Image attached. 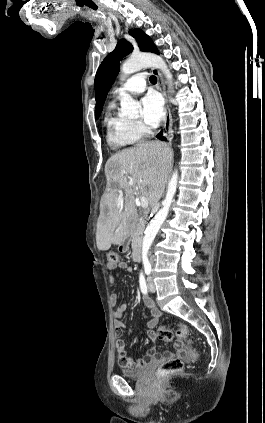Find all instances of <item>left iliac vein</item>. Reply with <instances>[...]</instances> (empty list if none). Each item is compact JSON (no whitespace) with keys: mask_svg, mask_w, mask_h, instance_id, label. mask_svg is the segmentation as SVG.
Returning <instances> with one entry per match:
<instances>
[{"mask_svg":"<svg viewBox=\"0 0 265 423\" xmlns=\"http://www.w3.org/2000/svg\"><path fill=\"white\" fill-rule=\"evenodd\" d=\"M147 283H148V289H149V291L150 292H155L156 291V288H155V285H154L151 277H148L147 278Z\"/></svg>","mask_w":265,"mask_h":423,"instance_id":"obj_1","label":"left iliac vein"}]
</instances>
